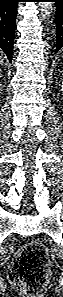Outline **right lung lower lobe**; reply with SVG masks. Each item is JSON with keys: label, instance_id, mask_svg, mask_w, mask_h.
Returning <instances> with one entry per match:
<instances>
[{"label": "right lung lower lobe", "instance_id": "1", "mask_svg": "<svg viewBox=\"0 0 63 297\" xmlns=\"http://www.w3.org/2000/svg\"><path fill=\"white\" fill-rule=\"evenodd\" d=\"M19 1L0 0V48L5 52L10 62L13 55L17 3Z\"/></svg>", "mask_w": 63, "mask_h": 297}]
</instances>
